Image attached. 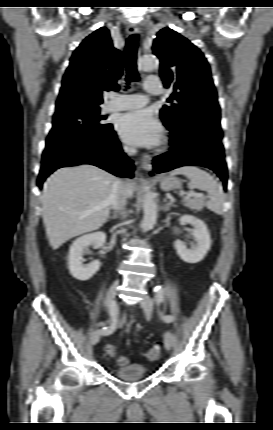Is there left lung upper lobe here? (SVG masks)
Masks as SVG:
<instances>
[{
  "label": "left lung upper lobe",
  "instance_id": "1",
  "mask_svg": "<svg viewBox=\"0 0 273 430\" xmlns=\"http://www.w3.org/2000/svg\"><path fill=\"white\" fill-rule=\"evenodd\" d=\"M152 50L160 59L164 86L174 89L167 99L170 105L160 110L163 122L182 131L203 114L220 120L217 93L203 53L170 28L158 32Z\"/></svg>",
  "mask_w": 273,
  "mask_h": 430
}]
</instances>
